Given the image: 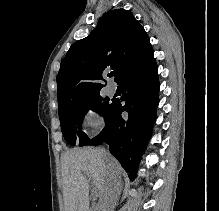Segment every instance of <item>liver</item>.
Here are the masks:
<instances>
[{
    "mask_svg": "<svg viewBox=\"0 0 219 211\" xmlns=\"http://www.w3.org/2000/svg\"><path fill=\"white\" fill-rule=\"evenodd\" d=\"M105 151L102 149H72L63 157V197L66 211H105L106 203L114 199L116 175L122 171V167L109 153L110 161L105 159ZM91 175L96 185L95 193L100 197L94 209H89L90 193L93 191L85 175ZM112 177L114 181L112 183Z\"/></svg>",
    "mask_w": 219,
    "mask_h": 211,
    "instance_id": "6515ba94",
    "label": "liver"
}]
</instances>
